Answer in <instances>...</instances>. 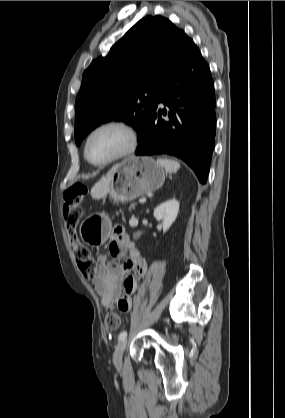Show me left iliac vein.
I'll return each mask as SVG.
<instances>
[{"label": "left iliac vein", "instance_id": "obj_1", "mask_svg": "<svg viewBox=\"0 0 285 418\" xmlns=\"http://www.w3.org/2000/svg\"><path fill=\"white\" fill-rule=\"evenodd\" d=\"M127 347V340L120 341L117 345L114 355H113V363L117 369H120L122 366V356Z\"/></svg>", "mask_w": 285, "mask_h": 418}]
</instances>
